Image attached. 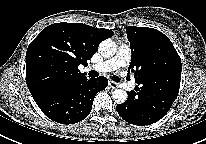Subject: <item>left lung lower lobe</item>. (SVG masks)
I'll return each instance as SVG.
<instances>
[{
  "mask_svg": "<svg viewBox=\"0 0 206 144\" xmlns=\"http://www.w3.org/2000/svg\"><path fill=\"white\" fill-rule=\"evenodd\" d=\"M178 95L174 88L147 91L141 85L135 91L128 92V99L118 104L116 110L128 123L133 125H150L164 117Z\"/></svg>",
  "mask_w": 206,
  "mask_h": 144,
  "instance_id": "0a47b994",
  "label": "left lung lower lobe"
}]
</instances>
